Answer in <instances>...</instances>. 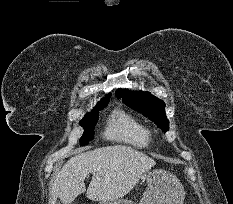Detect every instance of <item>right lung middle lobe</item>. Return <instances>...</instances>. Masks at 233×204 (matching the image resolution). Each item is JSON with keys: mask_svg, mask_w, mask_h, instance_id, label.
I'll use <instances>...</instances> for the list:
<instances>
[{"mask_svg": "<svg viewBox=\"0 0 233 204\" xmlns=\"http://www.w3.org/2000/svg\"><path fill=\"white\" fill-rule=\"evenodd\" d=\"M109 101L99 103L91 113H87L84 119L80 122V124L84 128V134L80 138V145H87L89 141L93 139L94 128L97 122L98 111L103 109Z\"/></svg>", "mask_w": 233, "mask_h": 204, "instance_id": "1", "label": "right lung middle lobe"}]
</instances>
